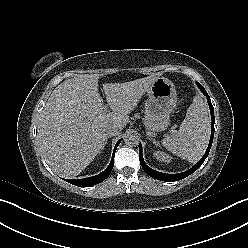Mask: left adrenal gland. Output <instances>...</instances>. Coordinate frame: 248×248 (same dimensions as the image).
<instances>
[{"label": "left adrenal gland", "mask_w": 248, "mask_h": 248, "mask_svg": "<svg viewBox=\"0 0 248 248\" xmlns=\"http://www.w3.org/2000/svg\"><path fill=\"white\" fill-rule=\"evenodd\" d=\"M149 140L156 144V140L154 138H149Z\"/></svg>", "instance_id": "1"}]
</instances>
